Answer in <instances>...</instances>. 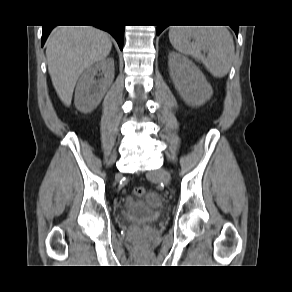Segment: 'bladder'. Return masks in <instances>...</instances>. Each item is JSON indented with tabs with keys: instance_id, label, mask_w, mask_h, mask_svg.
<instances>
[{
	"instance_id": "bladder-1",
	"label": "bladder",
	"mask_w": 292,
	"mask_h": 292,
	"mask_svg": "<svg viewBox=\"0 0 292 292\" xmlns=\"http://www.w3.org/2000/svg\"><path fill=\"white\" fill-rule=\"evenodd\" d=\"M162 203L155 193L145 195L141 200L127 202L123 215L128 222H154L159 219Z\"/></svg>"
}]
</instances>
